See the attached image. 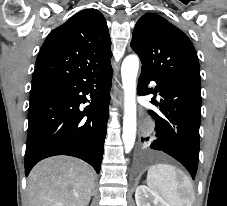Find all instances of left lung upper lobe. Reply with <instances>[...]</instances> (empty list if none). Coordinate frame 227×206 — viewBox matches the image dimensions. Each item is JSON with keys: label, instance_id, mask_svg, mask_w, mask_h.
<instances>
[{"label": "left lung upper lobe", "instance_id": "1", "mask_svg": "<svg viewBox=\"0 0 227 206\" xmlns=\"http://www.w3.org/2000/svg\"><path fill=\"white\" fill-rule=\"evenodd\" d=\"M130 46L141 59L142 69L201 86L192 42L162 16L144 14L136 23Z\"/></svg>", "mask_w": 227, "mask_h": 206}]
</instances>
